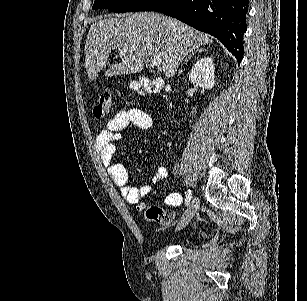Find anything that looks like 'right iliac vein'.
<instances>
[{"label":"right iliac vein","mask_w":307,"mask_h":301,"mask_svg":"<svg viewBox=\"0 0 307 301\" xmlns=\"http://www.w3.org/2000/svg\"><path fill=\"white\" fill-rule=\"evenodd\" d=\"M198 208H199L198 198L192 199L189 208L185 212L184 216L182 217V219H181V221L178 225V228H177L178 231L185 228L188 225V223L191 221V219L193 218V216L197 212Z\"/></svg>","instance_id":"1"}]
</instances>
